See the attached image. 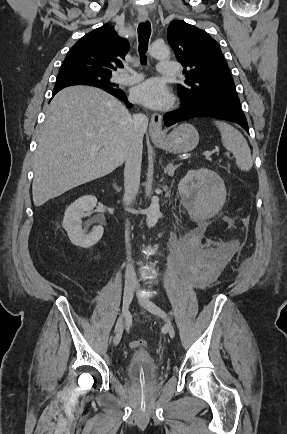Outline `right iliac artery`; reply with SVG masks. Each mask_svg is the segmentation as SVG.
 I'll return each mask as SVG.
<instances>
[{"mask_svg": "<svg viewBox=\"0 0 287 434\" xmlns=\"http://www.w3.org/2000/svg\"><path fill=\"white\" fill-rule=\"evenodd\" d=\"M121 323H122V317L120 316V317L118 318V321H117V324H116L115 330H117V329L120 327Z\"/></svg>", "mask_w": 287, "mask_h": 434, "instance_id": "obj_1", "label": "right iliac artery"}]
</instances>
